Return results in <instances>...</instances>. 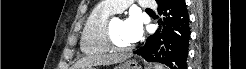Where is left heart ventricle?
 <instances>
[{
    "label": "left heart ventricle",
    "instance_id": "obj_1",
    "mask_svg": "<svg viewBox=\"0 0 246 69\" xmlns=\"http://www.w3.org/2000/svg\"><path fill=\"white\" fill-rule=\"evenodd\" d=\"M112 35H113L114 40L118 44L123 45V46L132 45V43L128 39L124 21H122L120 19L113 21V23H112Z\"/></svg>",
    "mask_w": 246,
    "mask_h": 69
}]
</instances>
